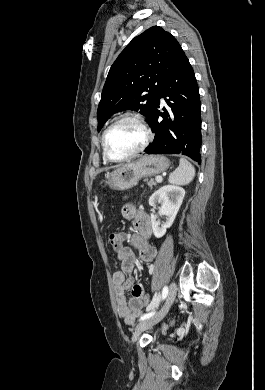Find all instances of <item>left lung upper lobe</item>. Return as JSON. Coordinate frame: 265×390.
<instances>
[{
    "instance_id": "5c2ea615",
    "label": "left lung upper lobe",
    "mask_w": 265,
    "mask_h": 390,
    "mask_svg": "<svg viewBox=\"0 0 265 390\" xmlns=\"http://www.w3.org/2000/svg\"><path fill=\"white\" fill-rule=\"evenodd\" d=\"M182 53L178 41L159 26L133 38L108 73L97 110L98 131L112 114L128 109L150 122L158 91Z\"/></svg>"
}]
</instances>
